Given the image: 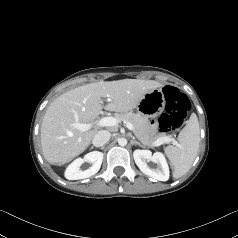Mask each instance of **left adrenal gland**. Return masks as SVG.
I'll return each instance as SVG.
<instances>
[{
	"mask_svg": "<svg viewBox=\"0 0 238 238\" xmlns=\"http://www.w3.org/2000/svg\"><path fill=\"white\" fill-rule=\"evenodd\" d=\"M132 144L139 145L140 147H144L140 142L136 140H132Z\"/></svg>",
	"mask_w": 238,
	"mask_h": 238,
	"instance_id": "left-adrenal-gland-1",
	"label": "left adrenal gland"
}]
</instances>
